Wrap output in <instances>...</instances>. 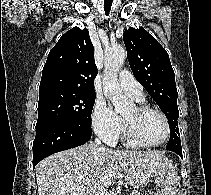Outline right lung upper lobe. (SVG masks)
Segmentation results:
<instances>
[{
    "mask_svg": "<svg viewBox=\"0 0 211 195\" xmlns=\"http://www.w3.org/2000/svg\"><path fill=\"white\" fill-rule=\"evenodd\" d=\"M97 67L89 32L74 27L49 52L42 71L39 92L52 89L94 91Z\"/></svg>",
    "mask_w": 211,
    "mask_h": 195,
    "instance_id": "cb5924a9",
    "label": "right lung upper lobe"
}]
</instances>
